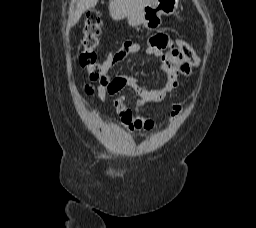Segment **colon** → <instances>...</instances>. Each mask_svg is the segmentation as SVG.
<instances>
[{
	"label": "colon",
	"instance_id": "5ec220e1",
	"mask_svg": "<svg viewBox=\"0 0 256 228\" xmlns=\"http://www.w3.org/2000/svg\"><path fill=\"white\" fill-rule=\"evenodd\" d=\"M101 31L102 20L99 12H89L83 25L81 37L83 51L79 60L81 66L88 71L91 80H99L103 75V65L99 62L97 54ZM176 48L180 55L185 58L191 66H197L199 64V58L190 44L178 40L176 42ZM87 92H91V89L88 87Z\"/></svg>",
	"mask_w": 256,
	"mask_h": 228
}]
</instances>
